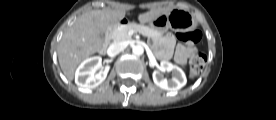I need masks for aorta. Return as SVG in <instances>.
<instances>
[{
  "mask_svg": "<svg viewBox=\"0 0 276 120\" xmlns=\"http://www.w3.org/2000/svg\"><path fill=\"white\" fill-rule=\"evenodd\" d=\"M132 52L134 55L140 56L144 53V48L141 45H134L132 47Z\"/></svg>",
  "mask_w": 276,
  "mask_h": 120,
  "instance_id": "obj_1",
  "label": "aorta"
}]
</instances>
